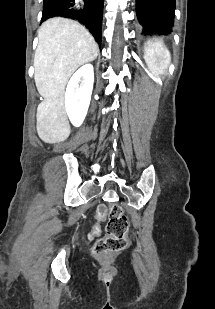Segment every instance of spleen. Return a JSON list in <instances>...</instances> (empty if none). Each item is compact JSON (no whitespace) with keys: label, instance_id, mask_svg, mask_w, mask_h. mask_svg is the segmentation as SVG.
<instances>
[{"label":"spleen","instance_id":"1","mask_svg":"<svg viewBox=\"0 0 215 309\" xmlns=\"http://www.w3.org/2000/svg\"><path fill=\"white\" fill-rule=\"evenodd\" d=\"M144 58L150 70H153L156 74H163L165 68L171 62V54L162 40H157V42L148 40V42H145Z\"/></svg>","mask_w":215,"mask_h":309}]
</instances>
